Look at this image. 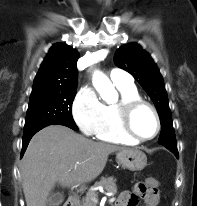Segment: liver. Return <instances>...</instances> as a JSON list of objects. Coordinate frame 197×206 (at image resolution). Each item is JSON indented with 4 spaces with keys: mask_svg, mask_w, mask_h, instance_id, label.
I'll use <instances>...</instances> for the list:
<instances>
[{
    "mask_svg": "<svg viewBox=\"0 0 197 206\" xmlns=\"http://www.w3.org/2000/svg\"><path fill=\"white\" fill-rule=\"evenodd\" d=\"M126 148L94 142L61 125H50L31 139L21 161L22 187L27 206H46L56 183L85 184L98 177L108 156Z\"/></svg>",
    "mask_w": 197,
    "mask_h": 206,
    "instance_id": "obj_1",
    "label": "liver"
}]
</instances>
